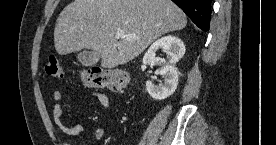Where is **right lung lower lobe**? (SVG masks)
Segmentation results:
<instances>
[{
  "label": "right lung lower lobe",
  "instance_id": "obj_1",
  "mask_svg": "<svg viewBox=\"0 0 276 145\" xmlns=\"http://www.w3.org/2000/svg\"><path fill=\"white\" fill-rule=\"evenodd\" d=\"M202 30L208 31L211 15V0H172Z\"/></svg>",
  "mask_w": 276,
  "mask_h": 145
}]
</instances>
